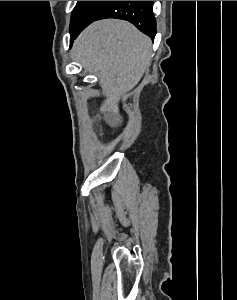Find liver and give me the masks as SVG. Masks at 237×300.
Wrapping results in <instances>:
<instances>
[{
	"mask_svg": "<svg viewBox=\"0 0 237 300\" xmlns=\"http://www.w3.org/2000/svg\"><path fill=\"white\" fill-rule=\"evenodd\" d=\"M75 61L87 71H99V83L110 103L141 81L152 59V41L134 25L104 19L89 25L73 45Z\"/></svg>",
	"mask_w": 237,
	"mask_h": 300,
	"instance_id": "1",
	"label": "liver"
}]
</instances>
